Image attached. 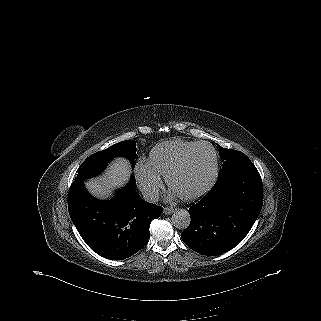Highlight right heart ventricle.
<instances>
[{
	"instance_id": "e07e8e85",
	"label": "right heart ventricle",
	"mask_w": 321,
	"mask_h": 321,
	"mask_svg": "<svg viewBox=\"0 0 321 321\" xmlns=\"http://www.w3.org/2000/svg\"><path fill=\"white\" fill-rule=\"evenodd\" d=\"M197 143L183 140H169L156 144L151 149L147 160L150 168L159 177L166 176L171 167L183 158Z\"/></svg>"
}]
</instances>
